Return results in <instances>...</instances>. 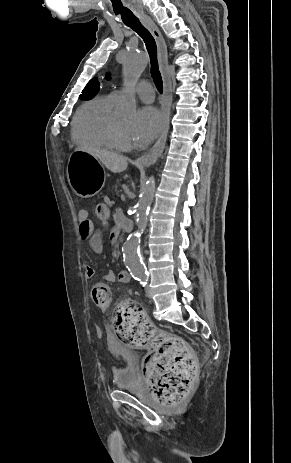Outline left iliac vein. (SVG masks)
<instances>
[{"instance_id":"obj_1","label":"left iliac vein","mask_w":291,"mask_h":463,"mask_svg":"<svg viewBox=\"0 0 291 463\" xmlns=\"http://www.w3.org/2000/svg\"><path fill=\"white\" fill-rule=\"evenodd\" d=\"M146 296H147V297H150V293H149V288H148V287L146 288Z\"/></svg>"}]
</instances>
